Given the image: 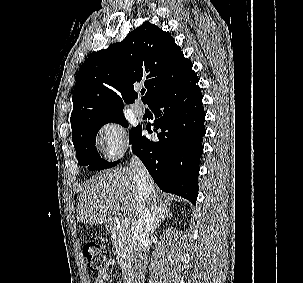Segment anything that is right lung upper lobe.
Wrapping results in <instances>:
<instances>
[{
	"mask_svg": "<svg viewBox=\"0 0 303 283\" xmlns=\"http://www.w3.org/2000/svg\"><path fill=\"white\" fill-rule=\"evenodd\" d=\"M192 66L169 32L144 22L80 67L72 98V133L88 122L124 116L123 100L134 101L136 83L144 82L142 101L149 104L193 74Z\"/></svg>",
	"mask_w": 303,
	"mask_h": 283,
	"instance_id": "right-lung-upper-lobe-1",
	"label": "right lung upper lobe"
}]
</instances>
